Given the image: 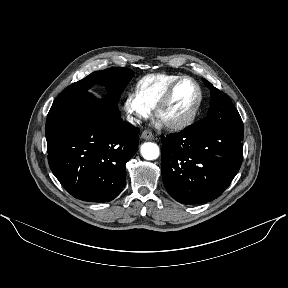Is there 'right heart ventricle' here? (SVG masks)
<instances>
[{
  "label": "right heart ventricle",
  "instance_id": "right-heart-ventricle-1",
  "mask_svg": "<svg viewBox=\"0 0 288 288\" xmlns=\"http://www.w3.org/2000/svg\"><path fill=\"white\" fill-rule=\"evenodd\" d=\"M179 75L176 74H151L140 79L135 86L138 98L150 109L156 107L157 103Z\"/></svg>",
  "mask_w": 288,
  "mask_h": 288
}]
</instances>
